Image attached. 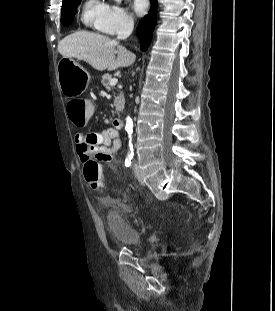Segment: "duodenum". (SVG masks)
<instances>
[{"label":"duodenum","instance_id":"410a0bca","mask_svg":"<svg viewBox=\"0 0 275 311\" xmlns=\"http://www.w3.org/2000/svg\"><path fill=\"white\" fill-rule=\"evenodd\" d=\"M113 125H114L116 128L121 129V128L123 127V122H122L121 119L115 118V119L113 120Z\"/></svg>","mask_w":275,"mask_h":311}]
</instances>
